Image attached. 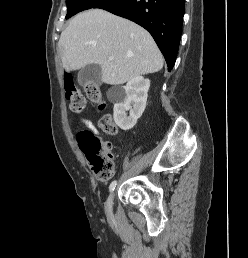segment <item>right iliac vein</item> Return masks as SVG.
<instances>
[{
  "mask_svg": "<svg viewBox=\"0 0 248 258\" xmlns=\"http://www.w3.org/2000/svg\"><path fill=\"white\" fill-rule=\"evenodd\" d=\"M114 196H115V191L113 190L111 192V194L109 195L108 199H107V203H106L107 210L111 209L112 203H113V200H114Z\"/></svg>",
  "mask_w": 248,
  "mask_h": 258,
  "instance_id": "1",
  "label": "right iliac vein"
}]
</instances>
